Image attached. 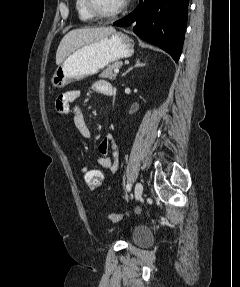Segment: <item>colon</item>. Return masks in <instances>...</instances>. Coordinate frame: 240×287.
Returning a JSON list of instances; mask_svg holds the SVG:
<instances>
[{"label":"colon","mask_w":240,"mask_h":287,"mask_svg":"<svg viewBox=\"0 0 240 287\" xmlns=\"http://www.w3.org/2000/svg\"><path fill=\"white\" fill-rule=\"evenodd\" d=\"M80 172L90 189L97 190L102 186L104 174L101 170L87 164H82ZM107 218L112 222H119L122 219V215L119 213H110L107 215Z\"/></svg>","instance_id":"colon-1"}]
</instances>
